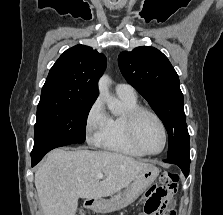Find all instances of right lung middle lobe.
Returning a JSON list of instances; mask_svg holds the SVG:
<instances>
[{
	"label": "right lung middle lobe",
	"mask_w": 223,
	"mask_h": 215,
	"mask_svg": "<svg viewBox=\"0 0 223 215\" xmlns=\"http://www.w3.org/2000/svg\"><path fill=\"white\" fill-rule=\"evenodd\" d=\"M92 105L93 103L41 98L37 106L32 152L83 143Z\"/></svg>",
	"instance_id": "obj_1"
}]
</instances>
